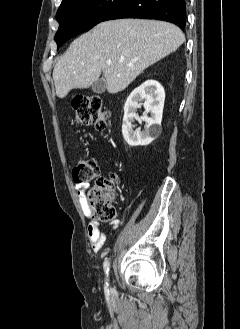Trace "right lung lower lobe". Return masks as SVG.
I'll return each mask as SVG.
<instances>
[{
    "label": "right lung lower lobe",
    "instance_id": "right-lung-lower-lobe-1",
    "mask_svg": "<svg viewBox=\"0 0 240 329\" xmlns=\"http://www.w3.org/2000/svg\"><path fill=\"white\" fill-rule=\"evenodd\" d=\"M120 18L164 20L184 30L186 2L185 0H123L102 21Z\"/></svg>",
    "mask_w": 240,
    "mask_h": 329
}]
</instances>
